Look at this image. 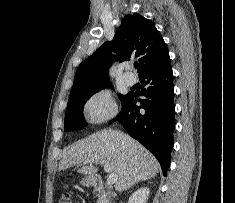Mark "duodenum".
<instances>
[{"instance_id": "410a0bca", "label": "duodenum", "mask_w": 235, "mask_h": 203, "mask_svg": "<svg viewBox=\"0 0 235 203\" xmlns=\"http://www.w3.org/2000/svg\"><path fill=\"white\" fill-rule=\"evenodd\" d=\"M91 183L95 188H97L99 190H103L105 188L104 181L102 180L101 177L93 176L91 178Z\"/></svg>"}]
</instances>
